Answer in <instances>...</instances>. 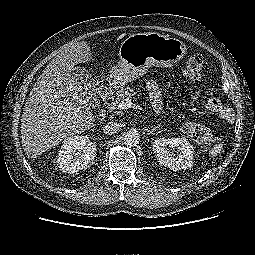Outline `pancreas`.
<instances>
[{
	"instance_id": "cf45deb5",
	"label": "pancreas",
	"mask_w": 255,
	"mask_h": 255,
	"mask_svg": "<svg viewBox=\"0 0 255 255\" xmlns=\"http://www.w3.org/2000/svg\"><path fill=\"white\" fill-rule=\"evenodd\" d=\"M133 95H135V89L129 86L120 88L117 92L109 97V101L107 102L108 110L117 109V105L122 99L130 98ZM117 114H121V112L117 111Z\"/></svg>"
}]
</instances>
